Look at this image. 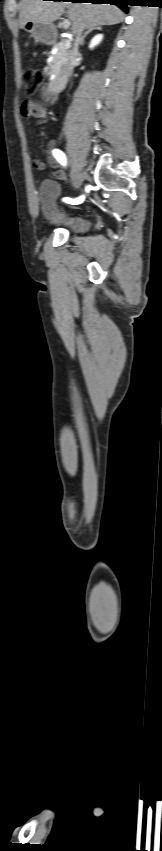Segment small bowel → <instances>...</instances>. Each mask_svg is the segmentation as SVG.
<instances>
[{
    "instance_id": "obj_1",
    "label": "small bowel",
    "mask_w": 162,
    "mask_h": 851,
    "mask_svg": "<svg viewBox=\"0 0 162 851\" xmlns=\"http://www.w3.org/2000/svg\"><path fill=\"white\" fill-rule=\"evenodd\" d=\"M41 94L45 97V102L39 101H30L26 102L21 106V114L26 118H36L40 119L42 123L46 121L48 115V107L52 105L57 100V97L52 94V89L49 86H44L41 89ZM58 97L62 96L61 92L57 93ZM57 159L51 153H48L47 160L44 161L42 159H35L33 165L38 170H44L47 165L57 168ZM57 176H61V171H56Z\"/></svg>"
}]
</instances>
